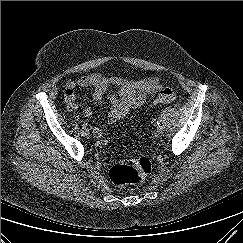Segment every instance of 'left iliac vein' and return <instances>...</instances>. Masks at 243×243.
Segmentation results:
<instances>
[{
	"label": "left iliac vein",
	"mask_w": 243,
	"mask_h": 243,
	"mask_svg": "<svg viewBox=\"0 0 243 243\" xmlns=\"http://www.w3.org/2000/svg\"><path fill=\"white\" fill-rule=\"evenodd\" d=\"M156 130H157V133H158V134H163V132H164V127L161 126V125H158L157 128H156Z\"/></svg>",
	"instance_id": "4c4485c4"
}]
</instances>
